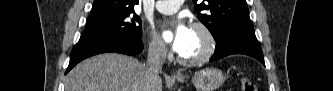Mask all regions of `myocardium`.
I'll return each mask as SVG.
<instances>
[{
	"mask_svg": "<svg viewBox=\"0 0 333 91\" xmlns=\"http://www.w3.org/2000/svg\"><path fill=\"white\" fill-rule=\"evenodd\" d=\"M191 29L199 31L205 40L204 49L195 57H184L181 54L178 56V60L184 65H197L209 60L216 50V39L210 28L202 22H194L191 24Z\"/></svg>",
	"mask_w": 333,
	"mask_h": 91,
	"instance_id": "f54148a6",
	"label": "myocardium"
}]
</instances>
